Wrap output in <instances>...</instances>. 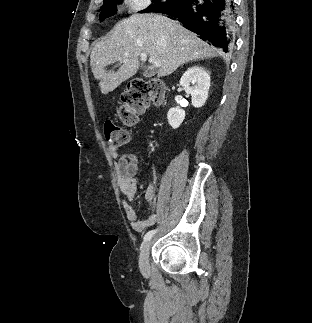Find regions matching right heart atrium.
Returning <instances> with one entry per match:
<instances>
[{
    "label": "right heart atrium",
    "mask_w": 312,
    "mask_h": 323,
    "mask_svg": "<svg viewBox=\"0 0 312 323\" xmlns=\"http://www.w3.org/2000/svg\"><path fill=\"white\" fill-rule=\"evenodd\" d=\"M119 5H128L129 9H134L135 13H146L147 8L143 5V0H119ZM147 5H156V0H147Z\"/></svg>",
    "instance_id": "obj_1"
}]
</instances>
